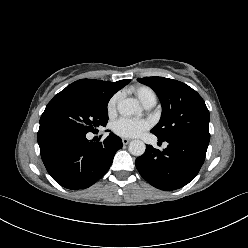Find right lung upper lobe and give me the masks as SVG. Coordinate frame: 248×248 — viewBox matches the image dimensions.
I'll list each match as a JSON object with an SVG mask.
<instances>
[{
	"label": "right lung upper lobe",
	"mask_w": 248,
	"mask_h": 248,
	"mask_svg": "<svg viewBox=\"0 0 248 248\" xmlns=\"http://www.w3.org/2000/svg\"><path fill=\"white\" fill-rule=\"evenodd\" d=\"M130 80H120L117 82H107L95 79H81L68 85L65 90H72L100 101L108 102L110 98Z\"/></svg>",
	"instance_id": "obj_1"
}]
</instances>
